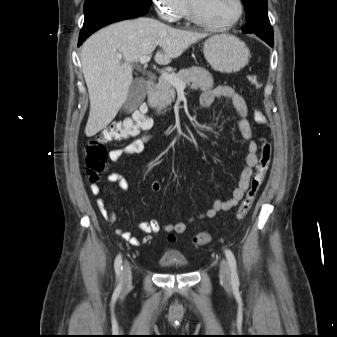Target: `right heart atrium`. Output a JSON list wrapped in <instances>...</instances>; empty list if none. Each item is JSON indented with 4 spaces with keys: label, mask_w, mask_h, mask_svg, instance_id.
<instances>
[{
    "label": "right heart atrium",
    "mask_w": 337,
    "mask_h": 337,
    "mask_svg": "<svg viewBox=\"0 0 337 337\" xmlns=\"http://www.w3.org/2000/svg\"><path fill=\"white\" fill-rule=\"evenodd\" d=\"M160 18L166 22H177L186 8L185 0H153Z\"/></svg>",
    "instance_id": "right-heart-atrium-1"
}]
</instances>
